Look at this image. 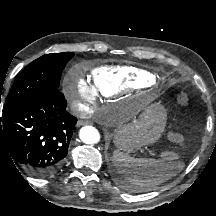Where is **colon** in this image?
I'll list each match as a JSON object with an SVG mask.
<instances>
[{"instance_id": "obj_1", "label": "colon", "mask_w": 216, "mask_h": 216, "mask_svg": "<svg viewBox=\"0 0 216 216\" xmlns=\"http://www.w3.org/2000/svg\"><path fill=\"white\" fill-rule=\"evenodd\" d=\"M190 100V95L189 92L186 90H180L177 94H176V102L177 104L181 105V106H186L189 103ZM176 156V154L172 151H168L165 153V157L168 159H172Z\"/></svg>"}]
</instances>
